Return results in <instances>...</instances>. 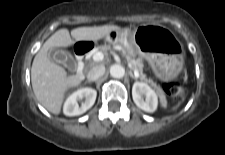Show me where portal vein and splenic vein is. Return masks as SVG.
I'll list each match as a JSON object with an SVG mask.
<instances>
[{"instance_id": "18ae733b", "label": "portal vein and splenic vein", "mask_w": 225, "mask_h": 155, "mask_svg": "<svg viewBox=\"0 0 225 155\" xmlns=\"http://www.w3.org/2000/svg\"><path fill=\"white\" fill-rule=\"evenodd\" d=\"M93 60L95 62H99V61H102L104 59V54L102 52H96L94 55H93ZM134 75L136 77H139V72L137 70H134Z\"/></svg>"}]
</instances>
